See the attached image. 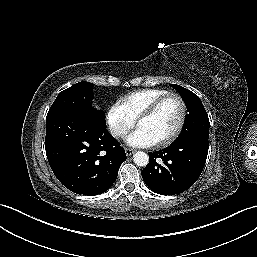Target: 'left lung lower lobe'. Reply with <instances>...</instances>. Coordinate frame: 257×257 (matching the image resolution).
<instances>
[{
	"label": "left lung lower lobe",
	"mask_w": 257,
	"mask_h": 257,
	"mask_svg": "<svg viewBox=\"0 0 257 257\" xmlns=\"http://www.w3.org/2000/svg\"><path fill=\"white\" fill-rule=\"evenodd\" d=\"M208 138L193 136L149 154L142 171L146 185L161 195L179 194L199 178L208 154Z\"/></svg>",
	"instance_id": "1"
}]
</instances>
